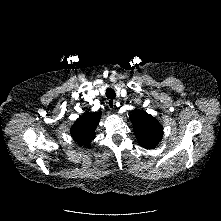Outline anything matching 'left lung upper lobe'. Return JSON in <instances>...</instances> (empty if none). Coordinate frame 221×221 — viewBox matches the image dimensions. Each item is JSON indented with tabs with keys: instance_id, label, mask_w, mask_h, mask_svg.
I'll return each mask as SVG.
<instances>
[{
	"instance_id": "left-lung-upper-lobe-1",
	"label": "left lung upper lobe",
	"mask_w": 221,
	"mask_h": 221,
	"mask_svg": "<svg viewBox=\"0 0 221 221\" xmlns=\"http://www.w3.org/2000/svg\"><path fill=\"white\" fill-rule=\"evenodd\" d=\"M129 117L140 145L146 149L156 147L163 134L161 124L151 115L140 111H135Z\"/></svg>"
}]
</instances>
